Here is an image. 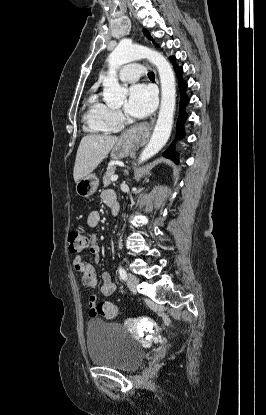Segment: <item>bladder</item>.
<instances>
[{"label":"bladder","instance_id":"obj_1","mask_svg":"<svg viewBox=\"0 0 266 415\" xmlns=\"http://www.w3.org/2000/svg\"><path fill=\"white\" fill-rule=\"evenodd\" d=\"M86 347L93 365L121 371L136 370L146 355L143 346L122 325L99 318L88 322Z\"/></svg>","mask_w":266,"mask_h":415}]
</instances>
